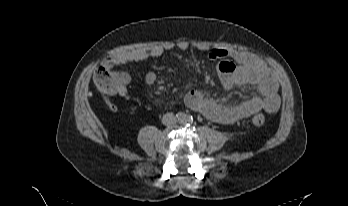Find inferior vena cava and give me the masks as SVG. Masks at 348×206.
Wrapping results in <instances>:
<instances>
[{
  "label": "inferior vena cava",
  "mask_w": 348,
  "mask_h": 206,
  "mask_svg": "<svg viewBox=\"0 0 348 206\" xmlns=\"http://www.w3.org/2000/svg\"><path fill=\"white\" fill-rule=\"evenodd\" d=\"M162 121L164 124H171L175 121V117L172 113H167L163 116Z\"/></svg>",
  "instance_id": "inferior-vena-cava-1"
}]
</instances>
